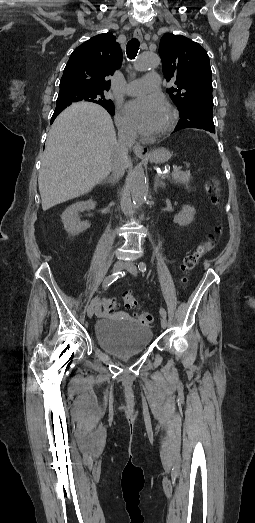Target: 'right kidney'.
<instances>
[{
    "mask_svg": "<svg viewBox=\"0 0 255 523\" xmlns=\"http://www.w3.org/2000/svg\"><path fill=\"white\" fill-rule=\"evenodd\" d=\"M96 202L93 200H87V202H77V204H72L69 206L61 216V220L64 224V228L67 234L71 236H77L86 228H90L89 222H79L77 218L78 212H84L87 208H95Z\"/></svg>",
    "mask_w": 255,
    "mask_h": 523,
    "instance_id": "right-kidney-1",
    "label": "right kidney"
}]
</instances>
